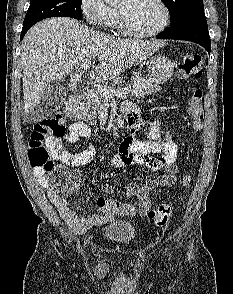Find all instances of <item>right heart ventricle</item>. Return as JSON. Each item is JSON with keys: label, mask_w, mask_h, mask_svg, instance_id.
Listing matches in <instances>:
<instances>
[{"label": "right heart ventricle", "mask_w": 233, "mask_h": 294, "mask_svg": "<svg viewBox=\"0 0 233 294\" xmlns=\"http://www.w3.org/2000/svg\"><path fill=\"white\" fill-rule=\"evenodd\" d=\"M113 26L116 28H121L119 13L115 10H114Z\"/></svg>", "instance_id": "e07e8e85"}]
</instances>
